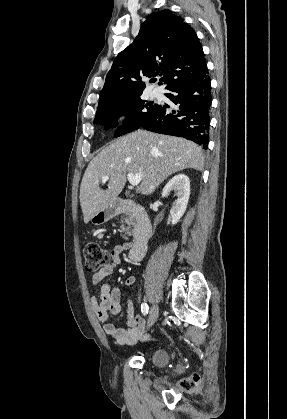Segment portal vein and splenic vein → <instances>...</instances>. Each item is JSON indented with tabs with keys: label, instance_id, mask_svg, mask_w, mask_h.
I'll list each match as a JSON object with an SVG mask.
<instances>
[{
	"label": "portal vein and splenic vein",
	"instance_id": "18ae733b",
	"mask_svg": "<svg viewBox=\"0 0 287 419\" xmlns=\"http://www.w3.org/2000/svg\"><path fill=\"white\" fill-rule=\"evenodd\" d=\"M127 179L129 183L131 184V186H137L142 180V174L141 173H136V174L128 173ZM108 180H109L108 176L102 177V182H107Z\"/></svg>",
	"mask_w": 287,
	"mask_h": 419
}]
</instances>
